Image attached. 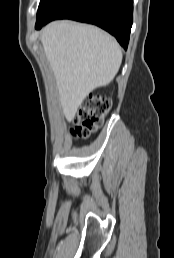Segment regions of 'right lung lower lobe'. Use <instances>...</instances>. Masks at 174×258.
Returning a JSON list of instances; mask_svg holds the SVG:
<instances>
[{
	"instance_id": "obj_1",
	"label": "right lung lower lobe",
	"mask_w": 174,
	"mask_h": 258,
	"mask_svg": "<svg viewBox=\"0 0 174 258\" xmlns=\"http://www.w3.org/2000/svg\"><path fill=\"white\" fill-rule=\"evenodd\" d=\"M56 19L94 24L115 36L127 49L133 22V0H63L36 28Z\"/></svg>"
}]
</instances>
